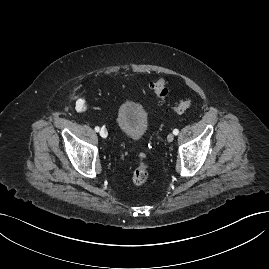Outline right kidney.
Listing matches in <instances>:
<instances>
[{
  "label": "right kidney",
  "instance_id": "ca27d5eb",
  "mask_svg": "<svg viewBox=\"0 0 269 269\" xmlns=\"http://www.w3.org/2000/svg\"><path fill=\"white\" fill-rule=\"evenodd\" d=\"M76 107L79 109V110H83L85 109V100L84 99H78L76 101Z\"/></svg>",
  "mask_w": 269,
  "mask_h": 269
}]
</instances>
